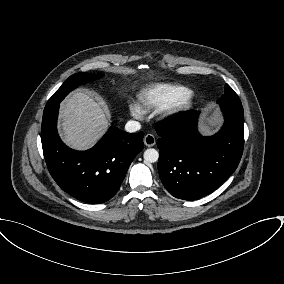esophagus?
Wrapping results in <instances>:
<instances>
[{
    "instance_id": "1",
    "label": "esophagus",
    "mask_w": 284,
    "mask_h": 284,
    "mask_svg": "<svg viewBox=\"0 0 284 284\" xmlns=\"http://www.w3.org/2000/svg\"><path fill=\"white\" fill-rule=\"evenodd\" d=\"M143 141H144V144H145L147 147H152V146H154L155 143H156V139H155L154 135H152V134H147V135H145Z\"/></svg>"
}]
</instances>
